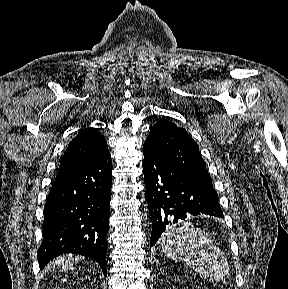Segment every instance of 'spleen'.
<instances>
[{
    "label": "spleen",
    "instance_id": "obj_1",
    "mask_svg": "<svg viewBox=\"0 0 288 289\" xmlns=\"http://www.w3.org/2000/svg\"><path fill=\"white\" fill-rule=\"evenodd\" d=\"M161 247L168 258L186 263L201 278L218 281L228 272L225 254L208 234L195 228L190 221L168 227L162 235Z\"/></svg>",
    "mask_w": 288,
    "mask_h": 289
}]
</instances>
